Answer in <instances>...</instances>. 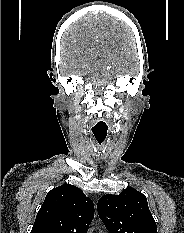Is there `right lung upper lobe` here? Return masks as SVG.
Wrapping results in <instances>:
<instances>
[{
    "instance_id": "cb5924a9",
    "label": "right lung upper lobe",
    "mask_w": 184,
    "mask_h": 233,
    "mask_svg": "<svg viewBox=\"0 0 184 233\" xmlns=\"http://www.w3.org/2000/svg\"><path fill=\"white\" fill-rule=\"evenodd\" d=\"M94 211L79 188L63 184L46 195L31 233H87Z\"/></svg>"
}]
</instances>
